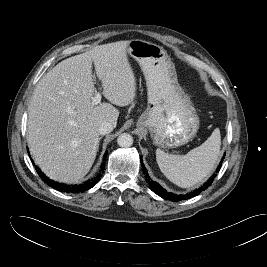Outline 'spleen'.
<instances>
[{"label": "spleen", "instance_id": "obj_1", "mask_svg": "<svg viewBox=\"0 0 267 267\" xmlns=\"http://www.w3.org/2000/svg\"><path fill=\"white\" fill-rule=\"evenodd\" d=\"M221 136L216 128L200 146L186 155H172L161 149L156 150V161L161 172L179 187H191L213 170L220 154Z\"/></svg>", "mask_w": 267, "mask_h": 267}]
</instances>
